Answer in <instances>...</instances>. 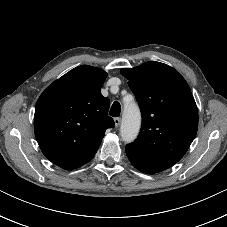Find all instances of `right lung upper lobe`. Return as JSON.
<instances>
[{
	"label": "right lung upper lobe",
	"instance_id": "cb5924a9",
	"mask_svg": "<svg viewBox=\"0 0 227 227\" xmlns=\"http://www.w3.org/2000/svg\"><path fill=\"white\" fill-rule=\"evenodd\" d=\"M107 73L81 65L53 82L39 97L34 132L45 157L64 169H75L96 154L107 128L110 101L100 89Z\"/></svg>",
	"mask_w": 227,
	"mask_h": 227
}]
</instances>
